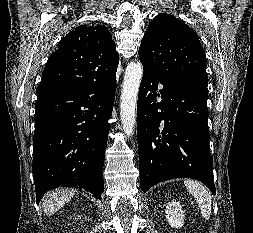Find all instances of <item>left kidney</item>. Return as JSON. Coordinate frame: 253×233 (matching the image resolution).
Masks as SVG:
<instances>
[{
  "mask_svg": "<svg viewBox=\"0 0 253 233\" xmlns=\"http://www.w3.org/2000/svg\"><path fill=\"white\" fill-rule=\"evenodd\" d=\"M165 215L170 226L173 228H181L184 224V211L181 204L176 200L167 203Z\"/></svg>",
  "mask_w": 253,
  "mask_h": 233,
  "instance_id": "obj_1",
  "label": "left kidney"
}]
</instances>
